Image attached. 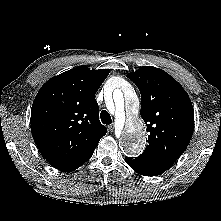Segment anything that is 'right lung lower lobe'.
Instances as JSON below:
<instances>
[{
    "mask_svg": "<svg viewBox=\"0 0 221 221\" xmlns=\"http://www.w3.org/2000/svg\"><path fill=\"white\" fill-rule=\"evenodd\" d=\"M95 149H92L91 151H89L88 153L84 154L83 156L77 158L76 160H74L73 162L63 166L62 168H60L59 170L61 171H74L75 169H77L78 167H80L81 165H83L86 161H88Z\"/></svg>",
    "mask_w": 221,
    "mask_h": 221,
    "instance_id": "obj_1",
    "label": "right lung lower lobe"
}]
</instances>
